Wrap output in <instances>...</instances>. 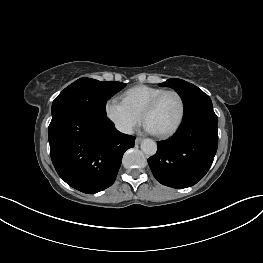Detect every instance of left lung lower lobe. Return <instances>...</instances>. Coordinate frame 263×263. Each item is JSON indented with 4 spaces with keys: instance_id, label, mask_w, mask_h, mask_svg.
Masks as SVG:
<instances>
[{
    "instance_id": "obj_1",
    "label": "left lung lower lobe",
    "mask_w": 263,
    "mask_h": 263,
    "mask_svg": "<svg viewBox=\"0 0 263 263\" xmlns=\"http://www.w3.org/2000/svg\"><path fill=\"white\" fill-rule=\"evenodd\" d=\"M217 128L213 109L184 118L177 133L158 142L157 153L148 159L154 177L172 188H187L200 181L217 151Z\"/></svg>"
}]
</instances>
